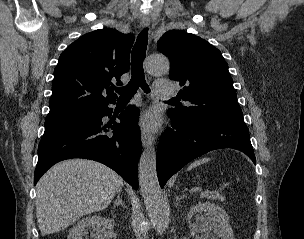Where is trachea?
I'll return each mask as SVG.
<instances>
[{
	"mask_svg": "<svg viewBox=\"0 0 304 239\" xmlns=\"http://www.w3.org/2000/svg\"><path fill=\"white\" fill-rule=\"evenodd\" d=\"M148 43V29L145 28L138 35L137 41L132 49L131 53V71L132 76L129 83L120 88H115V91L119 94V100H130L137 92L139 87L143 89L145 93H149L150 89L146 83L143 61L146 55ZM170 101H178L172 98Z\"/></svg>",
	"mask_w": 304,
	"mask_h": 239,
	"instance_id": "trachea-1",
	"label": "trachea"
}]
</instances>
